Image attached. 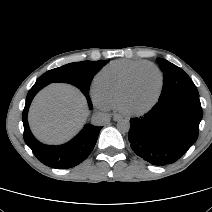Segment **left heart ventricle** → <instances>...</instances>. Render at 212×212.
Segmentation results:
<instances>
[{"label":"left heart ventricle","instance_id":"obj_1","mask_svg":"<svg viewBox=\"0 0 212 212\" xmlns=\"http://www.w3.org/2000/svg\"><path fill=\"white\" fill-rule=\"evenodd\" d=\"M159 88V76L155 70L146 68L140 71L126 100L129 109L139 110L148 106Z\"/></svg>","mask_w":212,"mask_h":212}]
</instances>
